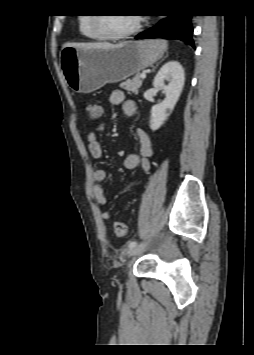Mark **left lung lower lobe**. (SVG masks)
Instances as JSON below:
<instances>
[{
	"mask_svg": "<svg viewBox=\"0 0 254 355\" xmlns=\"http://www.w3.org/2000/svg\"><path fill=\"white\" fill-rule=\"evenodd\" d=\"M167 19L161 20L155 28H150L144 33L138 34L135 38H176L194 47L192 39L193 28L191 17L193 15H168Z\"/></svg>",
	"mask_w": 254,
	"mask_h": 355,
	"instance_id": "obj_1",
	"label": "left lung lower lobe"
}]
</instances>
